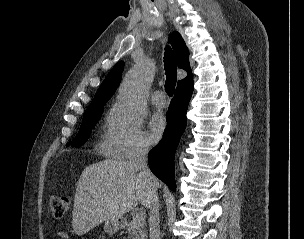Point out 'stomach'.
<instances>
[{
	"label": "stomach",
	"mask_w": 304,
	"mask_h": 239,
	"mask_svg": "<svg viewBox=\"0 0 304 239\" xmlns=\"http://www.w3.org/2000/svg\"><path fill=\"white\" fill-rule=\"evenodd\" d=\"M121 228V220L117 219H109L104 223V231L107 234H114Z\"/></svg>",
	"instance_id": "obj_1"
}]
</instances>
